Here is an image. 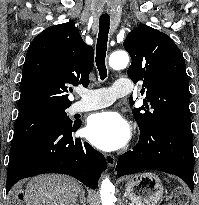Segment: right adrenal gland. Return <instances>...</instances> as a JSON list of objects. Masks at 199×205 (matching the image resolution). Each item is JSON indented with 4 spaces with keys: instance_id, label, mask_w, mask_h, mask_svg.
<instances>
[{
    "instance_id": "2a0ac1e0",
    "label": "right adrenal gland",
    "mask_w": 199,
    "mask_h": 205,
    "mask_svg": "<svg viewBox=\"0 0 199 205\" xmlns=\"http://www.w3.org/2000/svg\"><path fill=\"white\" fill-rule=\"evenodd\" d=\"M80 203L81 205H86V198H85V192L83 189L80 190Z\"/></svg>"
}]
</instances>
